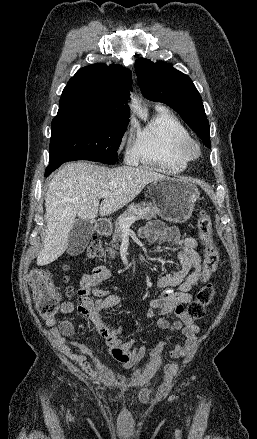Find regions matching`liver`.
Wrapping results in <instances>:
<instances>
[{
    "label": "liver",
    "instance_id": "liver-1",
    "mask_svg": "<svg viewBox=\"0 0 257 439\" xmlns=\"http://www.w3.org/2000/svg\"><path fill=\"white\" fill-rule=\"evenodd\" d=\"M165 177L142 167L109 168L87 161L64 165L53 175L45 196L47 227L37 265L50 264L65 252L76 217L93 221L98 212L111 214L131 202L147 184ZM102 191L110 195L99 205Z\"/></svg>",
    "mask_w": 257,
    "mask_h": 439
}]
</instances>
